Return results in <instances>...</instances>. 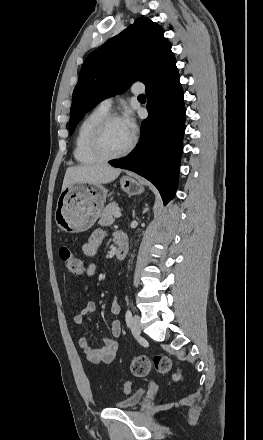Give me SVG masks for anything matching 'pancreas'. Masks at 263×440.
<instances>
[{"mask_svg": "<svg viewBox=\"0 0 263 440\" xmlns=\"http://www.w3.org/2000/svg\"><path fill=\"white\" fill-rule=\"evenodd\" d=\"M119 210L116 202L109 203L102 211L100 215L99 224L101 226H109L114 222V214Z\"/></svg>", "mask_w": 263, "mask_h": 440, "instance_id": "pancreas-1", "label": "pancreas"}]
</instances>
